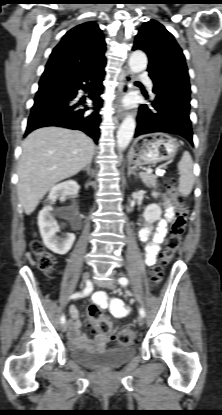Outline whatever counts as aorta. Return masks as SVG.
I'll use <instances>...</instances> for the list:
<instances>
[{"label":"aorta","instance_id":"aorta-1","mask_svg":"<svg viewBox=\"0 0 222 415\" xmlns=\"http://www.w3.org/2000/svg\"><path fill=\"white\" fill-rule=\"evenodd\" d=\"M148 60L143 51H134L129 58V67L132 72L140 73L147 68ZM135 131V119L132 115L125 117L117 132L118 149L124 150L130 143Z\"/></svg>","mask_w":222,"mask_h":415}]
</instances>
